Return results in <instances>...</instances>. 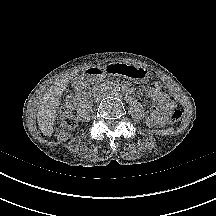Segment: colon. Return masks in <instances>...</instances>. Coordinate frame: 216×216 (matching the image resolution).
Masks as SVG:
<instances>
[{
	"label": "colon",
	"mask_w": 216,
	"mask_h": 216,
	"mask_svg": "<svg viewBox=\"0 0 216 216\" xmlns=\"http://www.w3.org/2000/svg\"><path fill=\"white\" fill-rule=\"evenodd\" d=\"M182 118V112L175 109L170 117L171 122L178 123ZM59 123L61 128L65 130H73L77 126L76 118L73 115V108L69 103H65L59 109Z\"/></svg>",
	"instance_id": "1"
}]
</instances>
